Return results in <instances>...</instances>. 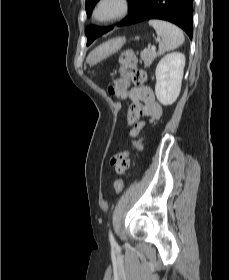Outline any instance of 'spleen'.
Listing matches in <instances>:
<instances>
[{"mask_svg": "<svg viewBox=\"0 0 229 280\" xmlns=\"http://www.w3.org/2000/svg\"><path fill=\"white\" fill-rule=\"evenodd\" d=\"M149 25L155 29L159 37L160 53L176 49L183 44V32L176 25L157 19L149 20Z\"/></svg>", "mask_w": 229, "mask_h": 280, "instance_id": "spleen-1", "label": "spleen"}]
</instances>
